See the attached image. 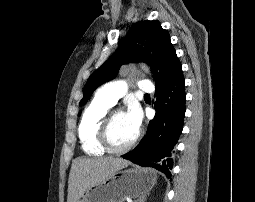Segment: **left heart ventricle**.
Wrapping results in <instances>:
<instances>
[{
  "mask_svg": "<svg viewBox=\"0 0 255 202\" xmlns=\"http://www.w3.org/2000/svg\"><path fill=\"white\" fill-rule=\"evenodd\" d=\"M137 132L131 127L124 113H116L113 117L110 137L112 143L121 147L130 142Z\"/></svg>",
  "mask_w": 255,
  "mask_h": 202,
  "instance_id": "1",
  "label": "left heart ventricle"
}]
</instances>
